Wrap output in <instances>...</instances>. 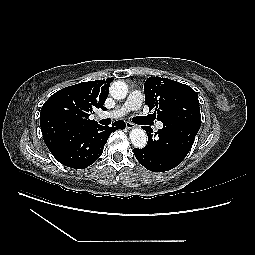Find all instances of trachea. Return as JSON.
Instances as JSON below:
<instances>
[{"instance_id":"obj_1","label":"trachea","mask_w":255,"mask_h":255,"mask_svg":"<svg viewBox=\"0 0 255 255\" xmlns=\"http://www.w3.org/2000/svg\"><path fill=\"white\" fill-rule=\"evenodd\" d=\"M111 123L110 119H102L100 120V124L102 125H109Z\"/></svg>"}]
</instances>
